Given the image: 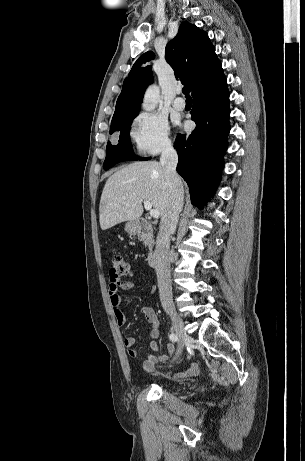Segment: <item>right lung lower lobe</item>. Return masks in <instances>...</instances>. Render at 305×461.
<instances>
[{
  "label": "right lung lower lobe",
  "mask_w": 305,
  "mask_h": 461,
  "mask_svg": "<svg viewBox=\"0 0 305 461\" xmlns=\"http://www.w3.org/2000/svg\"><path fill=\"white\" fill-rule=\"evenodd\" d=\"M192 96L191 119L197 126L189 136L178 134L174 147L179 156L177 171L189 186L192 203L202 209L219 183L230 130L229 92L223 72Z\"/></svg>",
  "instance_id": "right-lung-lower-lobe-1"
}]
</instances>
